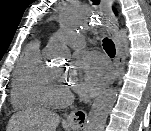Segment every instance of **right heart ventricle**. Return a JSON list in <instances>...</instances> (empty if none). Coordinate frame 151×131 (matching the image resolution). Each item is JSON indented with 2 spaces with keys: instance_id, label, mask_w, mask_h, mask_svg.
Listing matches in <instances>:
<instances>
[{
  "instance_id": "e07e8e85",
  "label": "right heart ventricle",
  "mask_w": 151,
  "mask_h": 131,
  "mask_svg": "<svg viewBox=\"0 0 151 131\" xmlns=\"http://www.w3.org/2000/svg\"><path fill=\"white\" fill-rule=\"evenodd\" d=\"M48 69L41 54L40 42L32 41L25 48L14 73L11 101L14 107L23 109L43 104L39 83Z\"/></svg>"
}]
</instances>
